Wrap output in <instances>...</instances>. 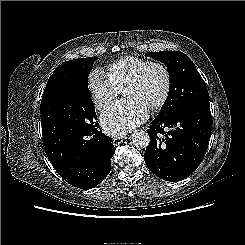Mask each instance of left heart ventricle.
I'll use <instances>...</instances> for the list:
<instances>
[{
  "label": "left heart ventricle",
  "mask_w": 245,
  "mask_h": 245,
  "mask_svg": "<svg viewBox=\"0 0 245 245\" xmlns=\"http://www.w3.org/2000/svg\"><path fill=\"white\" fill-rule=\"evenodd\" d=\"M164 89V75L158 67L150 68L142 81L136 86L123 90L125 98L135 97L150 107L157 101Z\"/></svg>",
  "instance_id": "left-heart-ventricle-1"
}]
</instances>
